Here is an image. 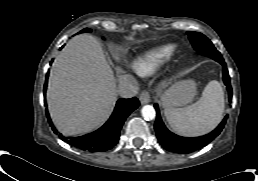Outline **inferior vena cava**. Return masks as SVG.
Here are the masks:
<instances>
[{
    "label": "inferior vena cava",
    "instance_id": "inferior-vena-cava-1",
    "mask_svg": "<svg viewBox=\"0 0 258 181\" xmlns=\"http://www.w3.org/2000/svg\"><path fill=\"white\" fill-rule=\"evenodd\" d=\"M139 90L138 82L129 75H122L118 78L117 91L123 98L134 97Z\"/></svg>",
    "mask_w": 258,
    "mask_h": 181
}]
</instances>
